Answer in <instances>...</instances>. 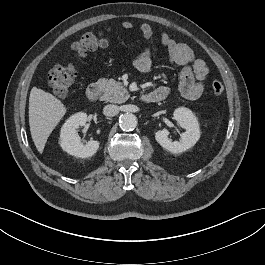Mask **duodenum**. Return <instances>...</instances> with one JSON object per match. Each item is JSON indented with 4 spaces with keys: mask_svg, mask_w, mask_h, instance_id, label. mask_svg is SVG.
Here are the masks:
<instances>
[{
    "mask_svg": "<svg viewBox=\"0 0 265 265\" xmlns=\"http://www.w3.org/2000/svg\"><path fill=\"white\" fill-rule=\"evenodd\" d=\"M100 88L97 84H91L86 89V97L89 101H96L99 97ZM166 95L161 91H153L145 93L141 96V100L147 104L155 103L163 100Z\"/></svg>",
    "mask_w": 265,
    "mask_h": 265,
    "instance_id": "410a0bca",
    "label": "duodenum"
}]
</instances>
